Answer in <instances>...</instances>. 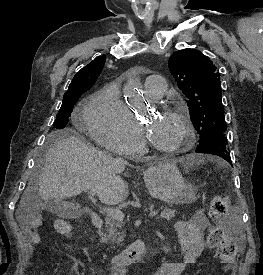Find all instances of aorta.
I'll return each mask as SVG.
<instances>
[{
	"label": "aorta",
	"instance_id": "aorta-1",
	"mask_svg": "<svg viewBox=\"0 0 263 275\" xmlns=\"http://www.w3.org/2000/svg\"><path fill=\"white\" fill-rule=\"evenodd\" d=\"M141 82L138 76L131 75L124 85L123 93L126 101L132 102L141 97Z\"/></svg>",
	"mask_w": 263,
	"mask_h": 275
}]
</instances>
